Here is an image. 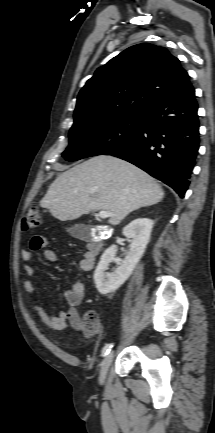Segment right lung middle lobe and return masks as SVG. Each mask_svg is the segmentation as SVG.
<instances>
[{"instance_id":"dd1d6c3e","label":"right lung middle lobe","mask_w":215,"mask_h":433,"mask_svg":"<svg viewBox=\"0 0 215 433\" xmlns=\"http://www.w3.org/2000/svg\"><path fill=\"white\" fill-rule=\"evenodd\" d=\"M143 115L108 118L92 123H77L69 133V146L62 156L67 161L106 154L130 143L139 134Z\"/></svg>"}]
</instances>
